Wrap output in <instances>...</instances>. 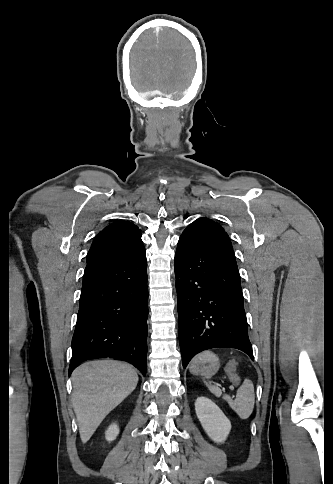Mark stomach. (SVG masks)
<instances>
[{
    "mask_svg": "<svg viewBox=\"0 0 333 484\" xmlns=\"http://www.w3.org/2000/svg\"><path fill=\"white\" fill-rule=\"evenodd\" d=\"M220 368L219 358L210 351H204L196 356L190 364V372L211 378Z\"/></svg>",
    "mask_w": 333,
    "mask_h": 484,
    "instance_id": "0dacf381",
    "label": "stomach"
}]
</instances>
